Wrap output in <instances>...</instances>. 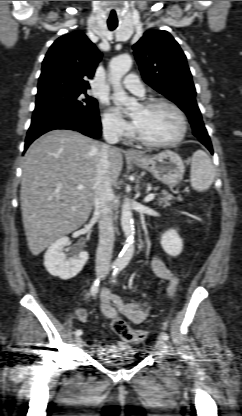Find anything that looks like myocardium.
Instances as JSON below:
<instances>
[{"instance_id": "obj_1", "label": "myocardium", "mask_w": 242, "mask_h": 416, "mask_svg": "<svg viewBox=\"0 0 242 416\" xmlns=\"http://www.w3.org/2000/svg\"><path fill=\"white\" fill-rule=\"evenodd\" d=\"M158 106H166L172 109L176 113L180 121V131L178 135L166 141H152L142 136L134 126L133 137L137 142L141 143L142 145L147 146V147H152V148L167 147V146L177 144L185 137L186 132H187L186 116L184 112L175 103L168 101L166 99H151L147 101L146 103H144L143 105L145 109H152Z\"/></svg>"}]
</instances>
